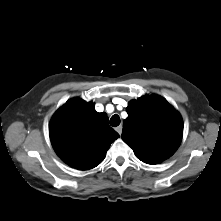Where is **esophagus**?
Masks as SVG:
<instances>
[{
	"label": "esophagus",
	"instance_id": "34e87169",
	"mask_svg": "<svg viewBox=\"0 0 221 221\" xmlns=\"http://www.w3.org/2000/svg\"><path fill=\"white\" fill-rule=\"evenodd\" d=\"M122 129H123V127H122V125H119L118 127H116V131L121 135V133H122Z\"/></svg>",
	"mask_w": 221,
	"mask_h": 221
}]
</instances>
